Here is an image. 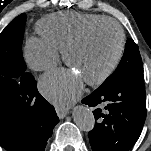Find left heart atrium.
Here are the masks:
<instances>
[{
    "label": "left heart atrium",
    "instance_id": "obj_1",
    "mask_svg": "<svg viewBox=\"0 0 151 151\" xmlns=\"http://www.w3.org/2000/svg\"><path fill=\"white\" fill-rule=\"evenodd\" d=\"M83 79L72 70L57 69L40 79L42 94L53 104L64 108L75 101L83 90Z\"/></svg>",
    "mask_w": 151,
    "mask_h": 151
}]
</instances>
